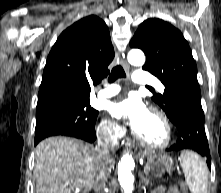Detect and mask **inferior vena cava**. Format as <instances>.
Returning <instances> with one entry per match:
<instances>
[{"mask_svg":"<svg viewBox=\"0 0 221 193\" xmlns=\"http://www.w3.org/2000/svg\"><path fill=\"white\" fill-rule=\"evenodd\" d=\"M115 146L113 131L101 132L98 136V151L100 153L96 168L94 189L97 193H103L107 178L110 174L111 154Z\"/></svg>","mask_w":221,"mask_h":193,"instance_id":"inferior-vena-cava-1","label":"inferior vena cava"}]
</instances>
